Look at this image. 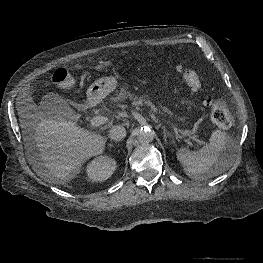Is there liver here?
<instances>
[{
	"instance_id": "liver-1",
	"label": "liver",
	"mask_w": 263,
	"mask_h": 263,
	"mask_svg": "<svg viewBox=\"0 0 263 263\" xmlns=\"http://www.w3.org/2000/svg\"><path fill=\"white\" fill-rule=\"evenodd\" d=\"M18 113L25 142L33 131L37 155H32L30 144L26 143L30 164L50 183L70 181L86 160L105 149L106 139L102 135L71 121H56L41 115L34 105L20 107Z\"/></svg>"
}]
</instances>
